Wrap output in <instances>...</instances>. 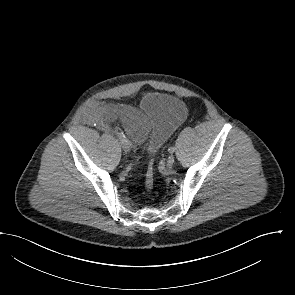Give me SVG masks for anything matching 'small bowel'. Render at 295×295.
I'll list each match as a JSON object with an SVG mask.
<instances>
[{"instance_id": "small-bowel-1", "label": "small bowel", "mask_w": 295, "mask_h": 295, "mask_svg": "<svg viewBox=\"0 0 295 295\" xmlns=\"http://www.w3.org/2000/svg\"><path fill=\"white\" fill-rule=\"evenodd\" d=\"M86 119L105 131L110 130L114 121L120 120L125 132L136 142H142L145 139L149 128L144 113L135 108L97 105L89 109Z\"/></svg>"}]
</instances>
